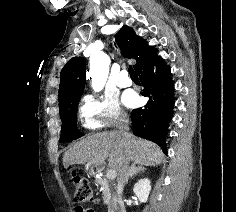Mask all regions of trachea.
<instances>
[{
  "label": "trachea",
  "mask_w": 236,
  "mask_h": 212,
  "mask_svg": "<svg viewBox=\"0 0 236 212\" xmlns=\"http://www.w3.org/2000/svg\"><path fill=\"white\" fill-rule=\"evenodd\" d=\"M128 72H129L131 78H138L137 74L135 73V71L131 65L128 68Z\"/></svg>",
  "instance_id": "obj_1"
}]
</instances>
